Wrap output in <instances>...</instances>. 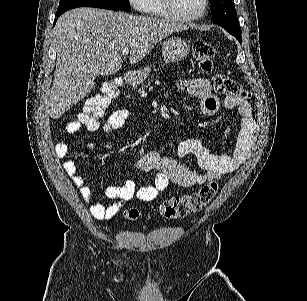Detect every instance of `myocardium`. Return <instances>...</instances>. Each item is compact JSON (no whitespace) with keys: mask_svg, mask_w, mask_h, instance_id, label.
<instances>
[{"mask_svg":"<svg viewBox=\"0 0 307 301\" xmlns=\"http://www.w3.org/2000/svg\"><path fill=\"white\" fill-rule=\"evenodd\" d=\"M163 4L161 17L169 18L170 22H195V18L204 16L207 0H201L199 11H170L172 2L160 0Z\"/></svg>","mask_w":307,"mask_h":301,"instance_id":"1","label":"myocardium"}]
</instances>
